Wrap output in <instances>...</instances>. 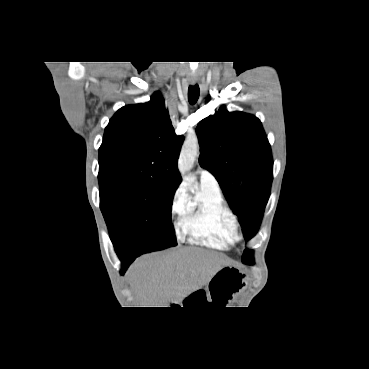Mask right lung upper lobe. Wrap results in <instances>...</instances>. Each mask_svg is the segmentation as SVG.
Returning <instances> with one entry per match:
<instances>
[{
  "label": "right lung upper lobe",
  "mask_w": 369,
  "mask_h": 369,
  "mask_svg": "<svg viewBox=\"0 0 369 369\" xmlns=\"http://www.w3.org/2000/svg\"><path fill=\"white\" fill-rule=\"evenodd\" d=\"M183 140L175 135L164 100L155 93L149 102L124 106L111 118L99 148V171L136 173L176 189Z\"/></svg>",
  "instance_id": "1"
}]
</instances>
